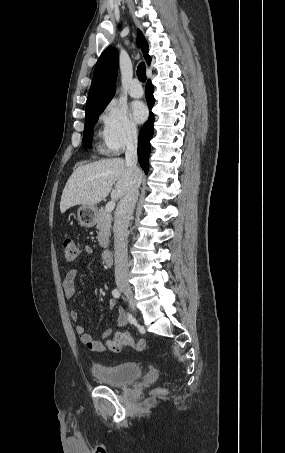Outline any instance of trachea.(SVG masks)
<instances>
[{"instance_id":"1","label":"trachea","mask_w":285,"mask_h":453,"mask_svg":"<svg viewBox=\"0 0 285 453\" xmlns=\"http://www.w3.org/2000/svg\"><path fill=\"white\" fill-rule=\"evenodd\" d=\"M137 76L141 82L146 81V69H145V63H140L139 66L137 67Z\"/></svg>"}]
</instances>
